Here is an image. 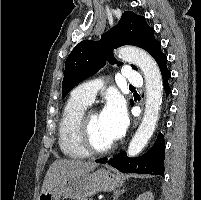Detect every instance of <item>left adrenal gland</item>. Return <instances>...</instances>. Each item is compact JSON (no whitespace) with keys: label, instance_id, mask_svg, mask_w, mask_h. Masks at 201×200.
<instances>
[{"label":"left adrenal gland","instance_id":"left-adrenal-gland-1","mask_svg":"<svg viewBox=\"0 0 201 200\" xmlns=\"http://www.w3.org/2000/svg\"><path fill=\"white\" fill-rule=\"evenodd\" d=\"M125 191H126L125 189H122V190L119 189V190L114 191L113 200H117L118 197H119L121 194H123Z\"/></svg>","mask_w":201,"mask_h":200}]
</instances>
